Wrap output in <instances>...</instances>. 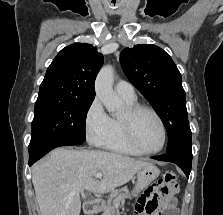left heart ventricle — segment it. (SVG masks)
Wrapping results in <instances>:
<instances>
[{"instance_id":"obj_1","label":"left heart ventricle","mask_w":223,"mask_h":215,"mask_svg":"<svg viewBox=\"0 0 223 215\" xmlns=\"http://www.w3.org/2000/svg\"><path fill=\"white\" fill-rule=\"evenodd\" d=\"M133 135L136 146L141 151L155 150L161 141L157 121L149 113H141L134 122Z\"/></svg>"}]
</instances>
